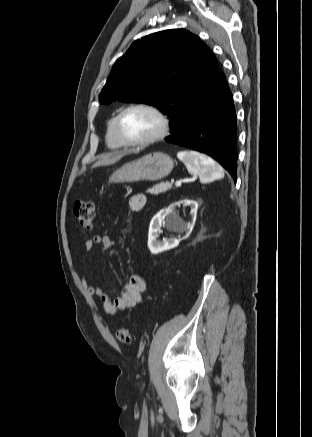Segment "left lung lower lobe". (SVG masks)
<instances>
[{"instance_id":"1","label":"left lung lower lobe","mask_w":312,"mask_h":437,"mask_svg":"<svg viewBox=\"0 0 312 437\" xmlns=\"http://www.w3.org/2000/svg\"><path fill=\"white\" fill-rule=\"evenodd\" d=\"M165 140L208 154L236 181V113L224 74L219 73L215 81L191 104L181 122Z\"/></svg>"}]
</instances>
